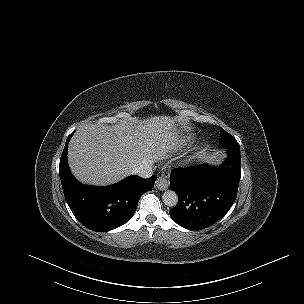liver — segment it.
I'll return each instance as SVG.
<instances>
[{
  "label": "liver",
  "instance_id": "1",
  "mask_svg": "<svg viewBox=\"0 0 304 304\" xmlns=\"http://www.w3.org/2000/svg\"><path fill=\"white\" fill-rule=\"evenodd\" d=\"M176 119L154 116L132 118L110 127L89 125L79 129L68 148L73 175L84 184L107 186L132 174L143 162L162 160L180 144Z\"/></svg>",
  "mask_w": 304,
  "mask_h": 304
}]
</instances>
